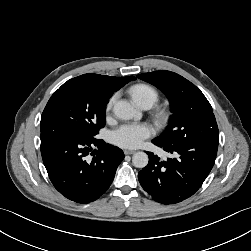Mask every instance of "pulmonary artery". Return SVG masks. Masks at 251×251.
Instances as JSON below:
<instances>
[{
  "label": "pulmonary artery",
  "mask_w": 251,
  "mask_h": 251,
  "mask_svg": "<svg viewBox=\"0 0 251 251\" xmlns=\"http://www.w3.org/2000/svg\"><path fill=\"white\" fill-rule=\"evenodd\" d=\"M140 107L143 109H150L152 106L150 104H142Z\"/></svg>",
  "instance_id": "pulmonary-artery-1"
}]
</instances>
